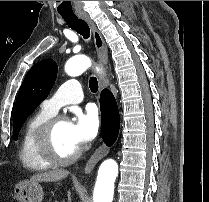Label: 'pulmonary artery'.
Returning a JSON list of instances; mask_svg holds the SVG:
<instances>
[{"label":"pulmonary artery","instance_id":"obj_1","mask_svg":"<svg viewBox=\"0 0 209 202\" xmlns=\"http://www.w3.org/2000/svg\"><path fill=\"white\" fill-rule=\"evenodd\" d=\"M82 100V88L79 80L70 79L61 84L53 98L45 99L42 107L54 115L58 110L68 104H78Z\"/></svg>","mask_w":209,"mask_h":202}]
</instances>
